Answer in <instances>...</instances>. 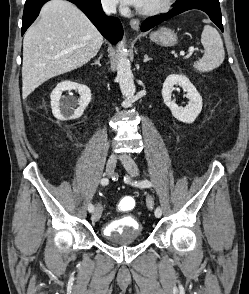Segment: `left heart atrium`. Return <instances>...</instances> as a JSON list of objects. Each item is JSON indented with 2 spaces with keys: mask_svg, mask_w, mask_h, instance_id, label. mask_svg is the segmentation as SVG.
Masks as SVG:
<instances>
[{
  "mask_svg": "<svg viewBox=\"0 0 249 294\" xmlns=\"http://www.w3.org/2000/svg\"><path fill=\"white\" fill-rule=\"evenodd\" d=\"M121 1L129 5L140 7L143 0H121Z\"/></svg>",
  "mask_w": 249,
  "mask_h": 294,
  "instance_id": "1",
  "label": "left heart atrium"
}]
</instances>
